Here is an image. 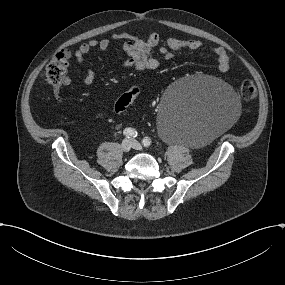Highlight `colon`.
<instances>
[{"label":"colon","mask_w":285,"mask_h":285,"mask_svg":"<svg viewBox=\"0 0 285 285\" xmlns=\"http://www.w3.org/2000/svg\"><path fill=\"white\" fill-rule=\"evenodd\" d=\"M69 54L62 51L56 54L46 68V78L54 86H59L67 74ZM140 90L132 86L123 93L115 104L116 113H121L138 96ZM239 96L244 101H251L256 97V86L248 80L243 81L238 88Z\"/></svg>","instance_id":"5ec220e1"}]
</instances>
